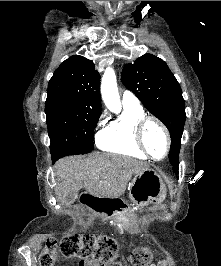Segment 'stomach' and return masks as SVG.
I'll use <instances>...</instances> for the list:
<instances>
[{
    "mask_svg": "<svg viewBox=\"0 0 221 266\" xmlns=\"http://www.w3.org/2000/svg\"><path fill=\"white\" fill-rule=\"evenodd\" d=\"M129 198L135 206L160 204L166 197V186L157 171L147 168L136 174L128 185ZM119 217L125 221L131 218L130 212H120Z\"/></svg>",
    "mask_w": 221,
    "mask_h": 266,
    "instance_id": "1",
    "label": "stomach"
}]
</instances>
